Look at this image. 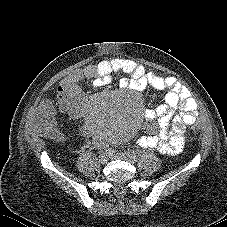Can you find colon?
I'll return each instance as SVG.
<instances>
[{"label":"colon","instance_id":"5ec220e1","mask_svg":"<svg viewBox=\"0 0 227 227\" xmlns=\"http://www.w3.org/2000/svg\"><path fill=\"white\" fill-rule=\"evenodd\" d=\"M48 136L54 140L60 139V133L53 127H48ZM200 136L197 132L191 131L187 134L185 142L188 146L193 147L199 141Z\"/></svg>","mask_w":227,"mask_h":227}]
</instances>
